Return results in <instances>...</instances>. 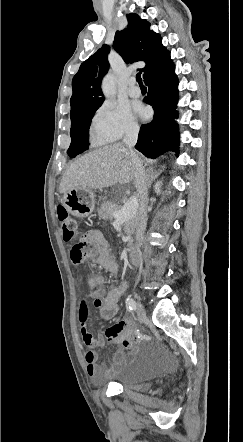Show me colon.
Returning a JSON list of instances; mask_svg holds the SVG:
<instances>
[{
	"instance_id": "obj_1",
	"label": "colon",
	"mask_w": 243,
	"mask_h": 442,
	"mask_svg": "<svg viewBox=\"0 0 243 442\" xmlns=\"http://www.w3.org/2000/svg\"><path fill=\"white\" fill-rule=\"evenodd\" d=\"M57 214L62 226L63 236L65 241L73 242L77 241L75 245H71L70 258L75 261H81L84 256L85 243L81 237V229L79 223L69 214L67 209L59 205L57 208ZM96 280V285L89 283V278ZM86 285L90 289H97L99 286V278L95 275H88L86 278Z\"/></svg>"
}]
</instances>
